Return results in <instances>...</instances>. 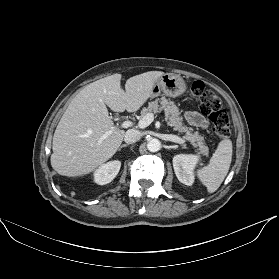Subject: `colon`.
Returning <instances> with one entry per match:
<instances>
[{
	"label": "colon",
	"mask_w": 279,
	"mask_h": 279,
	"mask_svg": "<svg viewBox=\"0 0 279 279\" xmlns=\"http://www.w3.org/2000/svg\"><path fill=\"white\" fill-rule=\"evenodd\" d=\"M191 94L199 100V107L203 114L207 115L212 122L215 134L224 139L230 134V120L227 112L222 109L220 98L205 85L194 82L190 87Z\"/></svg>",
	"instance_id": "obj_1"
}]
</instances>
